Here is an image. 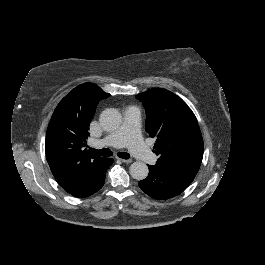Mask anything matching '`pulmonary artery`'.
Wrapping results in <instances>:
<instances>
[{
  "label": "pulmonary artery",
  "mask_w": 265,
  "mask_h": 265,
  "mask_svg": "<svg viewBox=\"0 0 265 265\" xmlns=\"http://www.w3.org/2000/svg\"><path fill=\"white\" fill-rule=\"evenodd\" d=\"M139 112L137 109L128 107L123 110V124L119 125L117 130L103 139H93L98 145H106L109 149L121 148L127 139V145L130 152L142 160L145 164H152L156 160L154 152L140 143L139 138Z\"/></svg>",
  "instance_id": "1"
}]
</instances>
